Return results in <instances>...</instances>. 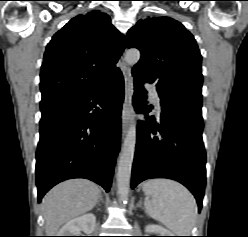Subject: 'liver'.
<instances>
[{
  "mask_svg": "<svg viewBox=\"0 0 248 237\" xmlns=\"http://www.w3.org/2000/svg\"><path fill=\"white\" fill-rule=\"evenodd\" d=\"M100 195L98 186L85 179L68 180L52 188L42 200L47 236H55L64 223L92 210Z\"/></svg>",
  "mask_w": 248,
  "mask_h": 237,
  "instance_id": "1",
  "label": "liver"
}]
</instances>
